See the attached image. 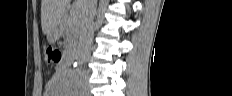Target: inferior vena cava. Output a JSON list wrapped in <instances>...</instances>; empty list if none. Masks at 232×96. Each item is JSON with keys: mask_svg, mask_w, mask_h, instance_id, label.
I'll return each mask as SVG.
<instances>
[{"mask_svg": "<svg viewBox=\"0 0 232 96\" xmlns=\"http://www.w3.org/2000/svg\"><path fill=\"white\" fill-rule=\"evenodd\" d=\"M97 0L80 1V31L78 55L86 59L91 51L93 42V19L96 13Z\"/></svg>", "mask_w": 232, "mask_h": 96, "instance_id": "obj_1", "label": "inferior vena cava"}]
</instances>
